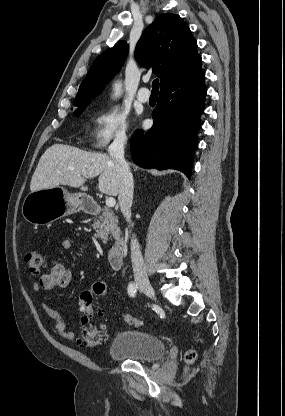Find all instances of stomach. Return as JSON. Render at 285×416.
I'll list each match as a JSON object with an SVG mask.
<instances>
[{
	"instance_id": "1",
	"label": "stomach",
	"mask_w": 285,
	"mask_h": 416,
	"mask_svg": "<svg viewBox=\"0 0 285 416\" xmlns=\"http://www.w3.org/2000/svg\"><path fill=\"white\" fill-rule=\"evenodd\" d=\"M82 208L79 194H69L63 186H55L30 192L23 202L22 216L30 224L45 226L59 218L76 214Z\"/></svg>"
}]
</instances>
